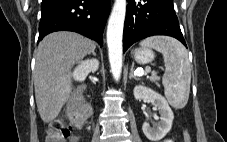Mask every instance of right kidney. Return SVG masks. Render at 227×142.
Here are the masks:
<instances>
[{
	"label": "right kidney",
	"instance_id": "ca27d5eb",
	"mask_svg": "<svg viewBox=\"0 0 227 142\" xmlns=\"http://www.w3.org/2000/svg\"><path fill=\"white\" fill-rule=\"evenodd\" d=\"M99 68L97 59H87L81 61L73 72V78L76 81L83 82L90 72H96Z\"/></svg>",
	"mask_w": 227,
	"mask_h": 142
}]
</instances>
